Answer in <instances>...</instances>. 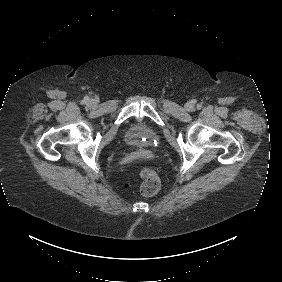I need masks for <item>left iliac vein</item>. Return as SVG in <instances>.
<instances>
[{
	"mask_svg": "<svg viewBox=\"0 0 282 282\" xmlns=\"http://www.w3.org/2000/svg\"><path fill=\"white\" fill-rule=\"evenodd\" d=\"M186 107H187V109H190V108H191V105H190V104H188Z\"/></svg>",
	"mask_w": 282,
	"mask_h": 282,
	"instance_id": "obj_1",
	"label": "left iliac vein"
}]
</instances>
